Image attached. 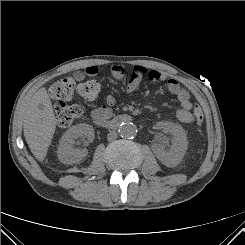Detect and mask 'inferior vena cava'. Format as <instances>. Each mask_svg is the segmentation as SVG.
Instances as JSON below:
<instances>
[{"label":"inferior vena cava","instance_id":"obj_1","mask_svg":"<svg viewBox=\"0 0 245 245\" xmlns=\"http://www.w3.org/2000/svg\"><path fill=\"white\" fill-rule=\"evenodd\" d=\"M117 137H118V134L116 131H110L108 134V140L109 141H113V140L117 139Z\"/></svg>","mask_w":245,"mask_h":245}]
</instances>
